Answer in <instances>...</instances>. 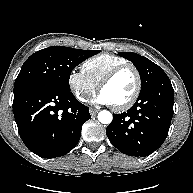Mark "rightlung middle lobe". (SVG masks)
I'll return each instance as SVG.
<instances>
[{
	"instance_id": "dd1d6c3e",
	"label": "right lung middle lobe",
	"mask_w": 193,
	"mask_h": 193,
	"mask_svg": "<svg viewBox=\"0 0 193 193\" xmlns=\"http://www.w3.org/2000/svg\"><path fill=\"white\" fill-rule=\"evenodd\" d=\"M99 52L64 46H51L42 49L32 54L23 64L16 78L14 91L37 84L70 91L69 77L72 70Z\"/></svg>"
}]
</instances>
